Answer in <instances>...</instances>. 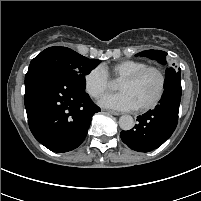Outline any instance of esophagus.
<instances>
[{"mask_svg": "<svg viewBox=\"0 0 201 201\" xmlns=\"http://www.w3.org/2000/svg\"><path fill=\"white\" fill-rule=\"evenodd\" d=\"M106 112H108L109 114H112V115H116V116L121 115V113H119L117 111H113V110H106Z\"/></svg>", "mask_w": 201, "mask_h": 201, "instance_id": "obj_1", "label": "esophagus"}]
</instances>
